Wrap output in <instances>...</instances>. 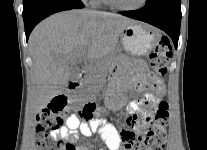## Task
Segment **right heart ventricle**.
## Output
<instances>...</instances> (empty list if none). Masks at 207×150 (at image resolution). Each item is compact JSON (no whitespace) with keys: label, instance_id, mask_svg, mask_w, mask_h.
I'll return each mask as SVG.
<instances>
[{"label":"right heart ventricle","instance_id":"e07e8e85","mask_svg":"<svg viewBox=\"0 0 207 150\" xmlns=\"http://www.w3.org/2000/svg\"><path fill=\"white\" fill-rule=\"evenodd\" d=\"M93 4L95 6H102V5H108V1L107 0H94Z\"/></svg>","mask_w":207,"mask_h":150}]
</instances>
